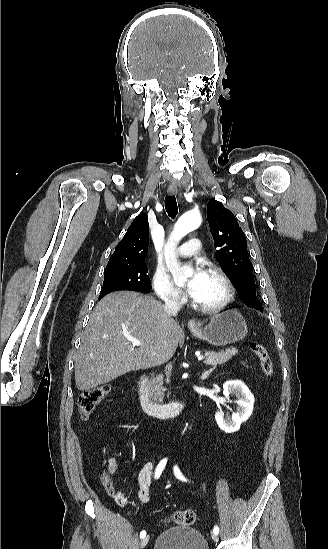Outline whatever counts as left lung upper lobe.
I'll return each instance as SVG.
<instances>
[{
    "mask_svg": "<svg viewBox=\"0 0 328 549\" xmlns=\"http://www.w3.org/2000/svg\"><path fill=\"white\" fill-rule=\"evenodd\" d=\"M207 209V219L217 249V261L244 303H259L244 232L233 213L222 203L210 200Z\"/></svg>",
    "mask_w": 328,
    "mask_h": 549,
    "instance_id": "1",
    "label": "left lung upper lobe"
}]
</instances>
